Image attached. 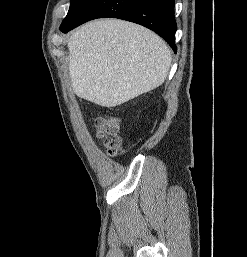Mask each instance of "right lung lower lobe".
I'll return each instance as SVG.
<instances>
[{"label": "right lung lower lobe", "instance_id": "1", "mask_svg": "<svg viewBox=\"0 0 247 257\" xmlns=\"http://www.w3.org/2000/svg\"><path fill=\"white\" fill-rule=\"evenodd\" d=\"M174 5L175 0H93L77 20L62 25L60 31L67 33L96 18H119L155 31L176 52Z\"/></svg>", "mask_w": 247, "mask_h": 257}]
</instances>
